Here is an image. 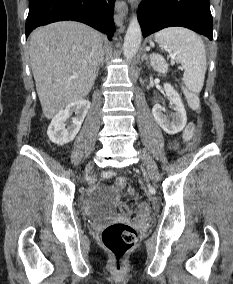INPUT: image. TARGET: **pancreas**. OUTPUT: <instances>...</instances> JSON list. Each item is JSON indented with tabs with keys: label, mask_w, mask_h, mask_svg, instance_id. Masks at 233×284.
Wrapping results in <instances>:
<instances>
[{
	"label": "pancreas",
	"mask_w": 233,
	"mask_h": 284,
	"mask_svg": "<svg viewBox=\"0 0 233 284\" xmlns=\"http://www.w3.org/2000/svg\"><path fill=\"white\" fill-rule=\"evenodd\" d=\"M152 65L154 69H156L159 72L167 71V64L165 60L159 55H154L152 60Z\"/></svg>",
	"instance_id": "obj_1"
}]
</instances>
